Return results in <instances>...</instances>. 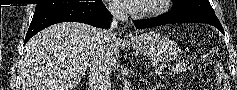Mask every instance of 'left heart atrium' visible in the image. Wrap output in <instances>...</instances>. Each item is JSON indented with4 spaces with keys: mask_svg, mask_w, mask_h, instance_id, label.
<instances>
[{
    "mask_svg": "<svg viewBox=\"0 0 237 90\" xmlns=\"http://www.w3.org/2000/svg\"><path fill=\"white\" fill-rule=\"evenodd\" d=\"M116 7H122V10H137L141 3H152V0H113Z\"/></svg>",
    "mask_w": 237,
    "mask_h": 90,
    "instance_id": "39dd6f15",
    "label": "left heart atrium"
}]
</instances>
